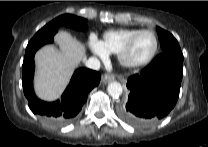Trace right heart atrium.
I'll use <instances>...</instances> for the list:
<instances>
[{
    "label": "right heart atrium",
    "instance_id": "d8ad5b80",
    "mask_svg": "<svg viewBox=\"0 0 208 147\" xmlns=\"http://www.w3.org/2000/svg\"><path fill=\"white\" fill-rule=\"evenodd\" d=\"M88 43H89L90 49L96 56L100 58H106L108 56L109 52L104 46L103 41L98 39V37L95 34H91L89 36Z\"/></svg>",
    "mask_w": 208,
    "mask_h": 147
}]
</instances>
